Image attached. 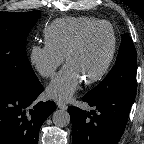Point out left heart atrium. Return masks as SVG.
Wrapping results in <instances>:
<instances>
[{
  "label": "left heart atrium",
  "instance_id": "39dd6f15",
  "mask_svg": "<svg viewBox=\"0 0 144 144\" xmlns=\"http://www.w3.org/2000/svg\"><path fill=\"white\" fill-rule=\"evenodd\" d=\"M81 81L82 77L78 71L67 64L50 83L47 93L53 99L67 101L78 89Z\"/></svg>",
  "mask_w": 144,
  "mask_h": 144
}]
</instances>
